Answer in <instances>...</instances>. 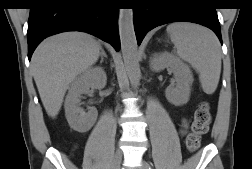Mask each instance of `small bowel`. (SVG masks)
Wrapping results in <instances>:
<instances>
[{"label": "small bowel", "instance_id": "1", "mask_svg": "<svg viewBox=\"0 0 252 169\" xmlns=\"http://www.w3.org/2000/svg\"><path fill=\"white\" fill-rule=\"evenodd\" d=\"M183 128H184V129L186 128V124H185V123H183Z\"/></svg>", "mask_w": 252, "mask_h": 169}]
</instances>
